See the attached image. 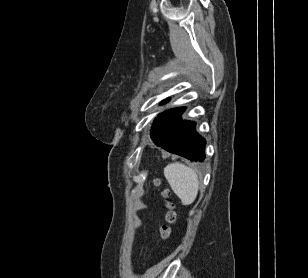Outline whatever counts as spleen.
Instances as JSON below:
<instances>
[{"label": "spleen", "mask_w": 308, "mask_h": 278, "mask_svg": "<svg viewBox=\"0 0 308 278\" xmlns=\"http://www.w3.org/2000/svg\"><path fill=\"white\" fill-rule=\"evenodd\" d=\"M164 175L183 205H190L195 201L199 181L193 168L180 162H174L164 168Z\"/></svg>", "instance_id": "1"}]
</instances>
